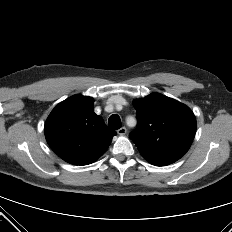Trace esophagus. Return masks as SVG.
Segmentation results:
<instances>
[{
    "instance_id": "34e87169",
    "label": "esophagus",
    "mask_w": 232,
    "mask_h": 232,
    "mask_svg": "<svg viewBox=\"0 0 232 232\" xmlns=\"http://www.w3.org/2000/svg\"><path fill=\"white\" fill-rule=\"evenodd\" d=\"M117 133L119 135H125L127 133V129L125 127H121L120 129L117 130Z\"/></svg>"
}]
</instances>
